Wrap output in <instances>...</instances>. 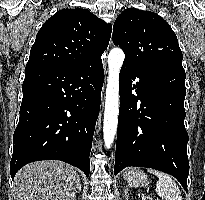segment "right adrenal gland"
<instances>
[{
  "label": "right adrenal gland",
  "mask_w": 205,
  "mask_h": 200,
  "mask_svg": "<svg viewBox=\"0 0 205 200\" xmlns=\"http://www.w3.org/2000/svg\"><path fill=\"white\" fill-rule=\"evenodd\" d=\"M81 187H82V185H81V183H80V179L78 180V188H77V192H80L81 191ZM76 192V193H77ZM72 200H75V197L72 199Z\"/></svg>",
  "instance_id": "1"
}]
</instances>
